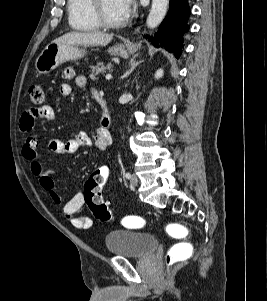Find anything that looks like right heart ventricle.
I'll list each match as a JSON object with an SVG mask.
<instances>
[{"label": "right heart ventricle", "instance_id": "e07e8e85", "mask_svg": "<svg viewBox=\"0 0 267 301\" xmlns=\"http://www.w3.org/2000/svg\"><path fill=\"white\" fill-rule=\"evenodd\" d=\"M93 0H68V21L72 29L93 32L100 29L93 14Z\"/></svg>", "mask_w": 267, "mask_h": 301}]
</instances>
